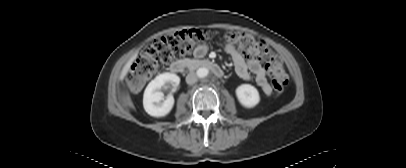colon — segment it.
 Here are the masks:
<instances>
[{
    "instance_id": "obj_1",
    "label": "colon",
    "mask_w": 406,
    "mask_h": 168,
    "mask_svg": "<svg viewBox=\"0 0 406 168\" xmlns=\"http://www.w3.org/2000/svg\"><path fill=\"white\" fill-rule=\"evenodd\" d=\"M206 37V31L190 28L153 41L130 67L126 78L130 88L134 91L140 90L158 68L187 55L195 47L201 46ZM225 37L227 42L235 46L244 56L266 59L273 90L276 94L283 93L288 83V75L281 59L272 53L264 41H257L247 33L236 31L227 32Z\"/></svg>"
}]
</instances>
